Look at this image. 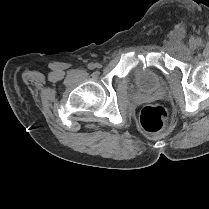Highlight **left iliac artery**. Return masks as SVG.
Segmentation results:
<instances>
[{
  "mask_svg": "<svg viewBox=\"0 0 209 209\" xmlns=\"http://www.w3.org/2000/svg\"><path fill=\"white\" fill-rule=\"evenodd\" d=\"M197 45L200 46L201 45V39H197Z\"/></svg>",
  "mask_w": 209,
  "mask_h": 209,
  "instance_id": "obj_1",
  "label": "left iliac artery"
}]
</instances>
